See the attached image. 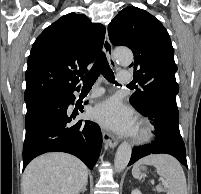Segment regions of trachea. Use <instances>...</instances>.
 I'll use <instances>...</instances> for the list:
<instances>
[{
  "mask_svg": "<svg viewBox=\"0 0 201 194\" xmlns=\"http://www.w3.org/2000/svg\"><path fill=\"white\" fill-rule=\"evenodd\" d=\"M100 74H102L110 83L117 85V82L115 81L114 73L108 64V61L104 52H101L98 55L89 73L81 78V80L83 81V88L91 89V87L93 86V84L95 83L96 79L98 78Z\"/></svg>",
  "mask_w": 201,
  "mask_h": 194,
  "instance_id": "1",
  "label": "trachea"
}]
</instances>
